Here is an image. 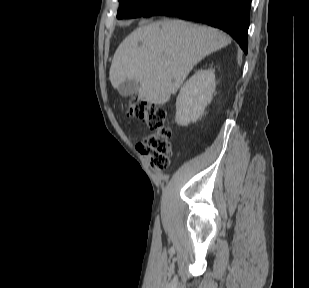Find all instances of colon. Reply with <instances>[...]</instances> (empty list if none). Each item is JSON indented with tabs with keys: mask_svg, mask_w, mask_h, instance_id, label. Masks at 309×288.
Wrapping results in <instances>:
<instances>
[{
	"mask_svg": "<svg viewBox=\"0 0 309 288\" xmlns=\"http://www.w3.org/2000/svg\"><path fill=\"white\" fill-rule=\"evenodd\" d=\"M126 115L141 120L152 131L139 141V152L150 159L154 170L166 169L172 153V132L166 126V110L154 103L131 98L126 107Z\"/></svg>",
	"mask_w": 309,
	"mask_h": 288,
	"instance_id": "colon-1",
	"label": "colon"
}]
</instances>
